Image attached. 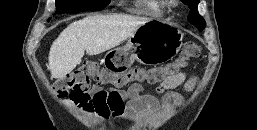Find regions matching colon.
<instances>
[{
  "label": "colon",
  "instance_id": "5ec220e1",
  "mask_svg": "<svg viewBox=\"0 0 257 130\" xmlns=\"http://www.w3.org/2000/svg\"><path fill=\"white\" fill-rule=\"evenodd\" d=\"M200 54V45L191 41L184 45L182 52L173 62L154 68L132 67L127 71H113L101 68L96 62H85L79 68L58 79L54 84V92L58 97L69 96L80 101L88 99L92 81L110 84L116 88H122L130 82L156 84L179 73Z\"/></svg>",
  "mask_w": 257,
  "mask_h": 130
}]
</instances>
